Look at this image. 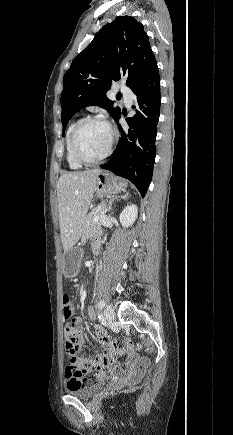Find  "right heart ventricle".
Instances as JSON below:
<instances>
[{"instance_id": "e07e8e85", "label": "right heart ventricle", "mask_w": 233, "mask_h": 435, "mask_svg": "<svg viewBox=\"0 0 233 435\" xmlns=\"http://www.w3.org/2000/svg\"><path fill=\"white\" fill-rule=\"evenodd\" d=\"M77 122L78 121H74L73 123L70 124L65 138L66 162L67 165L74 170H78L83 167V165L75 159L71 149V134Z\"/></svg>"}]
</instances>
